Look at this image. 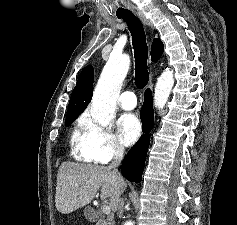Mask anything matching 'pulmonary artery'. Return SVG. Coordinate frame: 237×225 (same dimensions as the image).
Wrapping results in <instances>:
<instances>
[{
  "mask_svg": "<svg viewBox=\"0 0 237 225\" xmlns=\"http://www.w3.org/2000/svg\"><path fill=\"white\" fill-rule=\"evenodd\" d=\"M120 106L125 110H132L137 105L136 96L133 92H123L119 98Z\"/></svg>",
  "mask_w": 237,
  "mask_h": 225,
  "instance_id": "1",
  "label": "pulmonary artery"
}]
</instances>
